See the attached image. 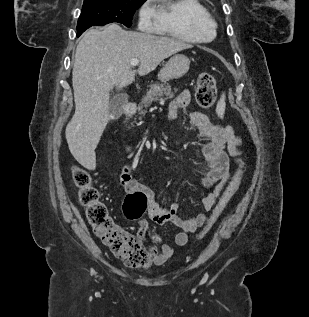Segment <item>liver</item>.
Wrapping results in <instances>:
<instances>
[{
    "label": "liver",
    "instance_id": "6515ba94",
    "mask_svg": "<svg viewBox=\"0 0 309 317\" xmlns=\"http://www.w3.org/2000/svg\"><path fill=\"white\" fill-rule=\"evenodd\" d=\"M191 45L174 38L126 31L117 24L90 29L77 45L72 71L75 114L65 131L69 150L85 168L96 167L95 149L109 120L110 90L135 80L130 61L145 76Z\"/></svg>",
    "mask_w": 309,
    "mask_h": 317
}]
</instances>
